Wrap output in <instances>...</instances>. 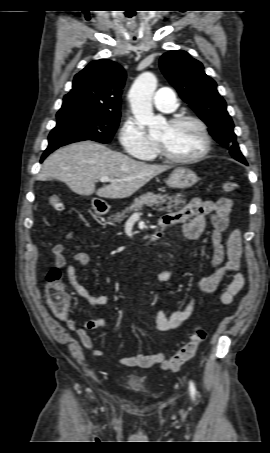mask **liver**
<instances>
[{
    "label": "liver",
    "mask_w": 270,
    "mask_h": 453,
    "mask_svg": "<svg viewBox=\"0 0 270 453\" xmlns=\"http://www.w3.org/2000/svg\"><path fill=\"white\" fill-rule=\"evenodd\" d=\"M168 169L170 166L147 164L102 144L82 141L52 153L44 161L37 180L58 179L66 183L74 193L90 196L95 192L98 179L106 176L114 181L99 188L96 195L122 199L131 196L152 178Z\"/></svg>",
    "instance_id": "obj_1"
}]
</instances>
